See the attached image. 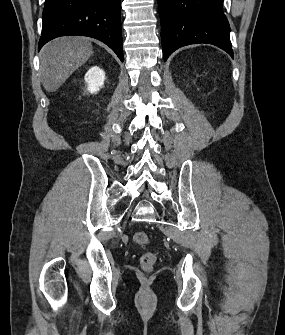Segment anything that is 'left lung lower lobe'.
Returning <instances> with one entry per match:
<instances>
[{
  "instance_id": "0a47b994",
  "label": "left lung lower lobe",
  "mask_w": 285,
  "mask_h": 335,
  "mask_svg": "<svg viewBox=\"0 0 285 335\" xmlns=\"http://www.w3.org/2000/svg\"><path fill=\"white\" fill-rule=\"evenodd\" d=\"M163 58L180 47L208 43L234 57L223 0H158Z\"/></svg>"
}]
</instances>
